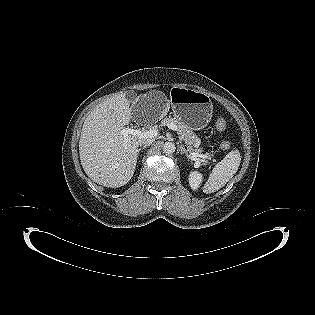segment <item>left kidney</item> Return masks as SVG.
<instances>
[{"instance_id": "left-kidney-1", "label": "left kidney", "mask_w": 315, "mask_h": 315, "mask_svg": "<svg viewBox=\"0 0 315 315\" xmlns=\"http://www.w3.org/2000/svg\"><path fill=\"white\" fill-rule=\"evenodd\" d=\"M202 181V175L198 172H191L189 175V184L193 190H196Z\"/></svg>"}]
</instances>
